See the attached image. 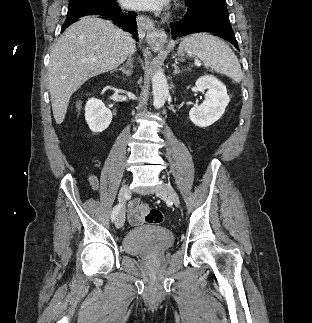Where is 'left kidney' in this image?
<instances>
[{"mask_svg": "<svg viewBox=\"0 0 312 323\" xmlns=\"http://www.w3.org/2000/svg\"><path fill=\"white\" fill-rule=\"evenodd\" d=\"M198 92L208 90L201 106H194L189 112V118L195 126L199 128H207L212 126L214 122L220 120L224 114L226 106L229 104V96L227 94L226 86L216 80L214 76H201L195 84Z\"/></svg>", "mask_w": 312, "mask_h": 323, "instance_id": "obj_1", "label": "left kidney"}]
</instances>
